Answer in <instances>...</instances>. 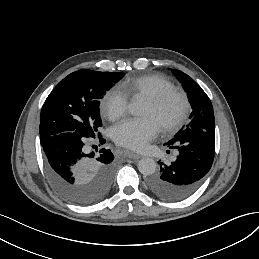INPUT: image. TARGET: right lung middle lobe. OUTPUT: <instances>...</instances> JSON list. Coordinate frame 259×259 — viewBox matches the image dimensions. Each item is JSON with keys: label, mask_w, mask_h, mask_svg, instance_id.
<instances>
[{"label": "right lung middle lobe", "mask_w": 259, "mask_h": 259, "mask_svg": "<svg viewBox=\"0 0 259 259\" xmlns=\"http://www.w3.org/2000/svg\"><path fill=\"white\" fill-rule=\"evenodd\" d=\"M124 73L79 70L64 78L49 94L40 115V142L62 133L94 138L102 126L99 104ZM100 133H98L99 135Z\"/></svg>", "instance_id": "1"}]
</instances>
